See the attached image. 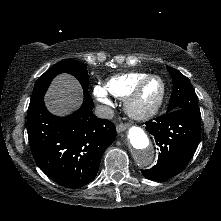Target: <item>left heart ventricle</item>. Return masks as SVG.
I'll return each instance as SVG.
<instances>
[{
	"label": "left heart ventricle",
	"mask_w": 221,
	"mask_h": 221,
	"mask_svg": "<svg viewBox=\"0 0 221 221\" xmlns=\"http://www.w3.org/2000/svg\"><path fill=\"white\" fill-rule=\"evenodd\" d=\"M161 93V83L157 79L150 80L144 87L140 98L139 106L141 108H148L152 106L158 99Z\"/></svg>",
	"instance_id": "1"
}]
</instances>
